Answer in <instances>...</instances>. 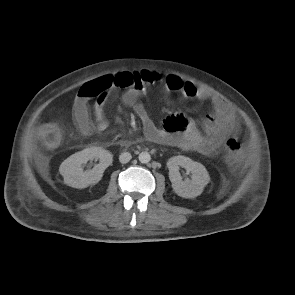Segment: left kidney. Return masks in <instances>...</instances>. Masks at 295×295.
Segmentation results:
<instances>
[{
    "instance_id": "5707ae66",
    "label": "left kidney",
    "mask_w": 295,
    "mask_h": 295,
    "mask_svg": "<svg viewBox=\"0 0 295 295\" xmlns=\"http://www.w3.org/2000/svg\"><path fill=\"white\" fill-rule=\"evenodd\" d=\"M179 166L191 172V180H182ZM167 167L173 190L178 196L183 198L199 196L210 181L206 168L201 163L195 162L185 156H174L170 158L167 162Z\"/></svg>"
}]
</instances>
